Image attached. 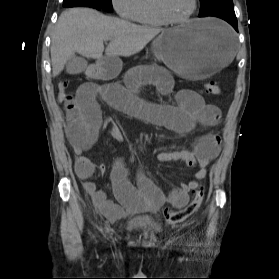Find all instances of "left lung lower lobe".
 I'll return each mask as SVG.
<instances>
[{"mask_svg":"<svg viewBox=\"0 0 279 279\" xmlns=\"http://www.w3.org/2000/svg\"><path fill=\"white\" fill-rule=\"evenodd\" d=\"M210 16L218 17L227 21L238 32V27H237L238 24H237V19L234 10L221 11V12L214 13Z\"/></svg>","mask_w":279,"mask_h":279,"instance_id":"obj_1","label":"left lung lower lobe"}]
</instances>
